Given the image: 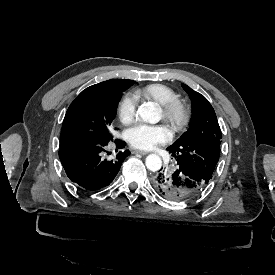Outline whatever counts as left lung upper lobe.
<instances>
[{"instance_id":"left-lung-upper-lobe-1","label":"left lung upper lobe","mask_w":275,"mask_h":275,"mask_svg":"<svg viewBox=\"0 0 275 275\" xmlns=\"http://www.w3.org/2000/svg\"><path fill=\"white\" fill-rule=\"evenodd\" d=\"M182 87L192 101L190 128L167 150L178 165L209 181L219 160L221 130L208 100L186 84Z\"/></svg>"}]
</instances>
